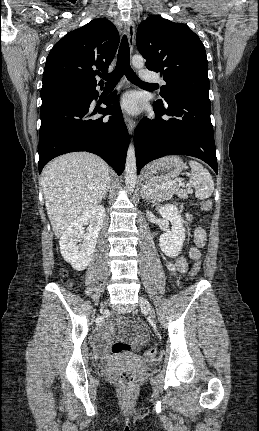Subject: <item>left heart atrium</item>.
<instances>
[{"mask_svg":"<svg viewBox=\"0 0 259 431\" xmlns=\"http://www.w3.org/2000/svg\"><path fill=\"white\" fill-rule=\"evenodd\" d=\"M120 107L126 112L137 113L139 105L136 95L133 92L124 94L120 101Z\"/></svg>","mask_w":259,"mask_h":431,"instance_id":"1","label":"left heart atrium"}]
</instances>
